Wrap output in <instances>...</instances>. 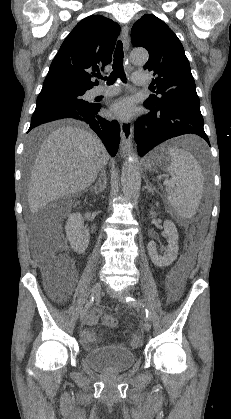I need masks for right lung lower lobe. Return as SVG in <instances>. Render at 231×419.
<instances>
[{
  "label": "right lung lower lobe",
  "instance_id": "obj_1",
  "mask_svg": "<svg viewBox=\"0 0 231 419\" xmlns=\"http://www.w3.org/2000/svg\"><path fill=\"white\" fill-rule=\"evenodd\" d=\"M100 104H76L49 102L36 105L28 131L39 124L62 118H73L87 122L101 138L111 156H115L120 142V127L117 122H108L98 115Z\"/></svg>",
  "mask_w": 231,
  "mask_h": 419
}]
</instances>
